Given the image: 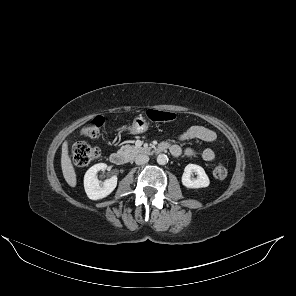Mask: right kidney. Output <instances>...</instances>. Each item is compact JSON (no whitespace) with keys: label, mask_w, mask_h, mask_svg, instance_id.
<instances>
[{"label":"right kidney","mask_w":296,"mask_h":296,"mask_svg":"<svg viewBox=\"0 0 296 296\" xmlns=\"http://www.w3.org/2000/svg\"><path fill=\"white\" fill-rule=\"evenodd\" d=\"M107 165L104 163L95 164L87 170L84 176V188L87 196L91 200H99L107 197L113 192L117 186V176H112L110 179L103 182V186L100 185V181L96 177L97 172L105 170Z\"/></svg>","instance_id":"ca27d5eb"}]
</instances>
